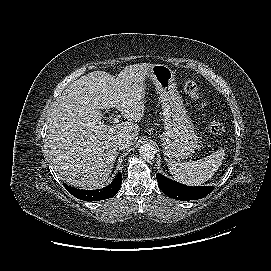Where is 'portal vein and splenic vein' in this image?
I'll return each instance as SVG.
<instances>
[{"instance_id":"18ae733b","label":"portal vein and splenic vein","mask_w":271,"mask_h":271,"mask_svg":"<svg viewBox=\"0 0 271 271\" xmlns=\"http://www.w3.org/2000/svg\"><path fill=\"white\" fill-rule=\"evenodd\" d=\"M119 122V118L118 117H114L113 118V123H118ZM109 125L108 124H103V123H100L99 125H97L96 127H95V129H97V130H102V129H105V128H107Z\"/></svg>"}]
</instances>
